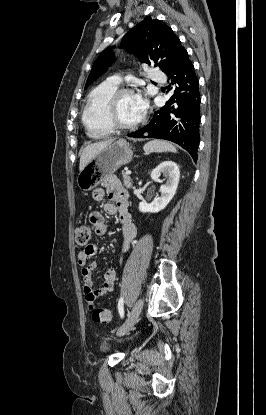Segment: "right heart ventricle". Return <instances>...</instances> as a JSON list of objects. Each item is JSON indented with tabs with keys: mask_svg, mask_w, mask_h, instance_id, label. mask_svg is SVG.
Instances as JSON below:
<instances>
[{
	"mask_svg": "<svg viewBox=\"0 0 266 415\" xmlns=\"http://www.w3.org/2000/svg\"><path fill=\"white\" fill-rule=\"evenodd\" d=\"M117 89L118 86L104 82L90 92L83 109L82 122L91 138H105L114 132L107 115V104Z\"/></svg>",
	"mask_w": 266,
	"mask_h": 415,
	"instance_id": "obj_1",
	"label": "right heart ventricle"
}]
</instances>
